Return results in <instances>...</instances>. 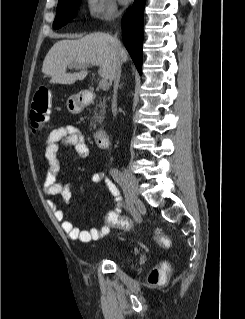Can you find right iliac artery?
I'll use <instances>...</instances> for the list:
<instances>
[{
  "label": "right iliac artery",
  "mask_w": 245,
  "mask_h": 319,
  "mask_svg": "<svg viewBox=\"0 0 245 319\" xmlns=\"http://www.w3.org/2000/svg\"><path fill=\"white\" fill-rule=\"evenodd\" d=\"M111 176L122 187L124 194H125V201H126L127 207L131 211L133 216L136 218L138 214H137V211H136L135 206H134L133 196L130 192L129 186H127L124 175L118 169L113 168L111 170ZM110 183H111L110 189H112V193L114 195H119V192H118L116 186L112 182H110Z\"/></svg>",
  "instance_id": "1"
}]
</instances>
